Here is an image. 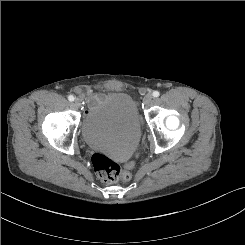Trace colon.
<instances>
[{
	"instance_id": "1",
	"label": "colon",
	"mask_w": 245,
	"mask_h": 245,
	"mask_svg": "<svg viewBox=\"0 0 245 245\" xmlns=\"http://www.w3.org/2000/svg\"><path fill=\"white\" fill-rule=\"evenodd\" d=\"M92 164L97 176L106 183L131 179V173L128 170H122L116 162L103 154H94ZM127 167H132V163L128 164Z\"/></svg>"
}]
</instances>
